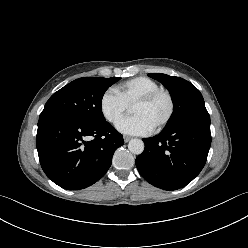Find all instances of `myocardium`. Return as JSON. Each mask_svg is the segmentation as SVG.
<instances>
[{
	"label": "myocardium",
	"instance_id": "1",
	"mask_svg": "<svg viewBox=\"0 0 248 248\" xmlns=\"http://www.w3.org/2000/svg\"><path fill=\"white\" fill-rule=\"evenodd\" d=\"M160 96H164L167 98L169 108H168V112H167L165 118L163 119V121L160 124H158L155 128H153V132L161 131L171 121L173 114H174V110H175V103H174V99H173L172 94L165 89H157L153 92H150V93L142 96L133 104V106L149 104V103L153 102L154 100H156Z\"/></svg>",
	"mask_w": 248,
	"mask_h": 248
}]
</instances>
